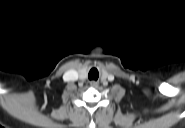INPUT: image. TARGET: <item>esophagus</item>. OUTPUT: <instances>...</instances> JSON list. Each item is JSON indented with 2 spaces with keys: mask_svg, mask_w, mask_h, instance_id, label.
I'll list each match as a JSON object with an SVG mask.
<instances>
[{
  "mask_svg": "<svg viewBox=\"0 0 185 128\" xmlns=\"http://www.w3.org/2000/svg\"><path fill=\"white\" fill-rule=\"evenodd\" d=\"M90 85H91V87H97L98 83L96 81H91Z\"/></svg>",
  "mask_w": 185,
  "mask_h": 128,
  "instance_id": "esophagus-1",
  "label": "esophagus"
}]
</instances>
